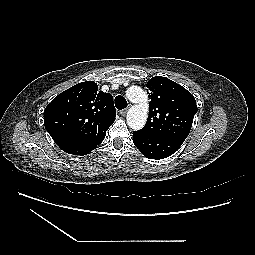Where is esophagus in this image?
Masks as SVG:
<instances>
[{"label":"esophagus","mask_w":255,"mask_h":255,"mask_svg":"<svg viewBox=\"0 0 255 255\" xmlns=\"http://www.w3.org/2000/svg\"><path fill=\"white\" fill-rule=\"evenodd\" d=\"M127 111H128V108H125L120 111V114L124 116L127 113Z\"/></svg>","instance_id":"esophagus-1"}]
</instances>
